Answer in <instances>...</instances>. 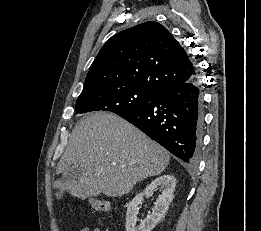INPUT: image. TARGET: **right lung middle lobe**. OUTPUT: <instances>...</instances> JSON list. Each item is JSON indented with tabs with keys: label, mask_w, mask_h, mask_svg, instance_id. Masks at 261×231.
I'll return each instance as SVG.
<instances>
[{
	"label": "right lung middle lobe",
	"mask_w": 261,
	"mask_h": 231,
	"mask_svg": "<svg viewBox=\"0 0 261 231\" xmlns=\"http://www.w3.org/2000/svg\"><path fill=\"white\" fill-rule=\"evenodd\" d=\"M155 96L156 94L138 87L96 91L80 95L75 110L77 113L102 110L121 115L144 106Z\"/></svg>",
	"instance_id": "right-lung-middle-lobe-1"
}]
</instances>
